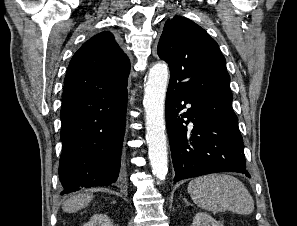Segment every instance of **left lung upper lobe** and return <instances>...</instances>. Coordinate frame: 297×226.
I'll use <instances>...</instances> for the list:
<instances>
[{"label": "left lung upper lobe", "instance_id": "1", "mask_svg": "<svg viewBox=\"0 0 297 226\" xmlns=\"http://www.w3.org/2000/svg\"><path fill=\"white\" fill-rule=\"evenodd\" d=\"M157 51L176 82L193 90L232 95L218 44L194 22L181 16L167 20Z\"/></svg>", "mask_w": 297, "mask_h": 226}]
</instances>
